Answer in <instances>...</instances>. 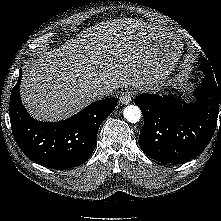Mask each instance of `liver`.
Masks as SVG:
<instances>
[{
	"label": "liver",
	"mask_w": 221,
	"mask_h": 221,
	"mask_svg": "<svg viewBox=\"0 0 221 221\" xmlns=\"http://www.w3.org/2000/svg\"><path fill=\"white\" fill-rule=\"evenodd\" d=\"M150 31L129 18L102 22L41 54L22 72L24 106L38 120L59 121L94 101L95 89L148 88Z\"/></svg>",
	"instance_id": "6515ba94"
}]
</instances>
